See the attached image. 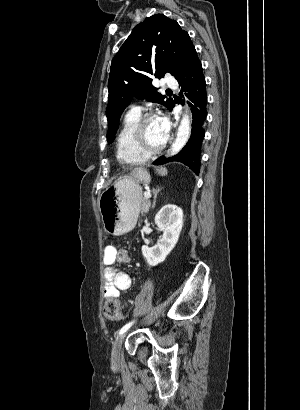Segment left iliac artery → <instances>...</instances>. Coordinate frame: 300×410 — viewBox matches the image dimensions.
Returning a JSON list of instances; mask_svg holds the SVG:
<instances>
[{
  "label": "left iliac artery",
  "mask_w": 300,
  "mask_h": 410,
  "mask_svg": "<svg viewBox=\"0 0 300 410\" xmlns=\"http://www.w3.org/2000/svg\"><path fill=\"white\" fill-rule=\"evenodd\" d=\"M134 321H131L129 323H127L126 325H124L120 331H119V335L125 333L132 325H133Z\"/></svg>",
  "instance_id": "obj_1"
}]
</instances>
